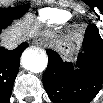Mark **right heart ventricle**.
<instances>
[{"mask_svg": "<svg viewBox=\"0 0 103 103\" xmlns=\"http://www.w3.org/2000/svg\"><path fill=\"white\" fill-rule=\"evenodd\" d=\"M70 18L71 14L68 11L55 8H45L38 13L39 21L48 26L62 25Z\"/></svg>", "mask_w": 103, "mask_h": 103, "instance_id": "obj_1", "label": "right heart ventricle"}]
</instances>
